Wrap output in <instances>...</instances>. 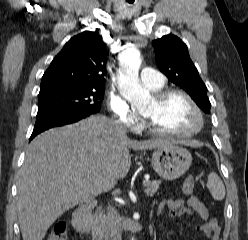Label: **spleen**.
I'll use <instances>...</instances> for the list:
<instances>
[{"label": "spleen", "mask_w": 248, "mask_h": 240, "mask_svg": "<svg viewBox=\"0 0 248 240\" xmlns=\"http://www.w3.org/2000/svg\"><path fill=\"white\" fill-rule=\"evenodd\" d=\"M207 187L215 200L220 201L225 197L224 184L215 172L208 175Z\"/></svg>", "instance_id": "3e777b00"}]
</instances>
